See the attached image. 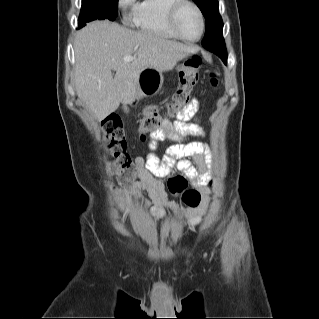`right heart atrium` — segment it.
Masks as SVG:
<instances>
[{
  "label": "right heart atrium",
  "mask_w": 319,
  "mask_h": 319,
  "mask_svg": "<svg viewBox=\"0 0 319 319\" xmlns=\"http://www.w3.org/2000/svg\"><path fill=\"white\" fill-rule=\"evenodd\" d=\"M136 0H118V6L123 10H133Z\"/></svg>",
  "instance_id": "1"
}]
</instances>
